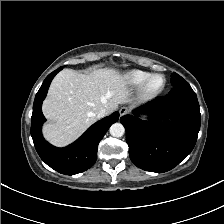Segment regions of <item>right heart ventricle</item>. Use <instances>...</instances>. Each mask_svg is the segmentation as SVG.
Here are the masks:
<instances>
[{
    "mask_svg": "<svg viewBox=\"0 0 224 224\" xmlns=\"http://www.w3.org/2000/svg\"><path fill=\"white\" fill-rule=\"evenodd\" d=\"M150 75L149 72L142 70H130L124 75V80L132 86H140L141 83Z\"/></svg>",
    "mask_w": 224,
    "mask_h": 224,
    "instance_id": "obj_1",
    "label": "right heart ventricle"
}]
</instances>
